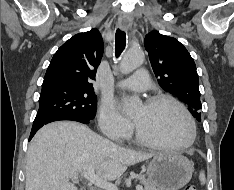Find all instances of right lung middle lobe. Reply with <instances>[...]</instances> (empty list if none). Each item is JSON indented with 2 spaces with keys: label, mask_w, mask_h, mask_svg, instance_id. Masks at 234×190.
Segmentation results:
<instances>
[{
  "label": "right lung middle lobe",
  "mask_w": 234,
  "mask_h": 190,
  "mask_svg": "<svg viewBox=\"0 0 234 190\" xmlns=\"http://www.w3.org/2000/svg\"><path fill=\"white\" fill-rule=\"evenodd\" d=\"M39 104L32 128L57 117L92 120L96 109V95L93 89L46 85L42 86Z\"/></svg>",
  "instance_id": "right-lung-middle-lobe-1"
}]
</instances>
